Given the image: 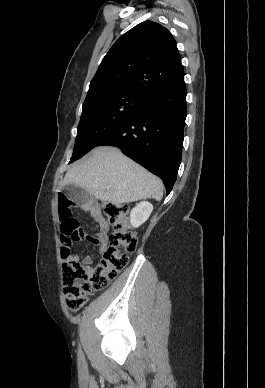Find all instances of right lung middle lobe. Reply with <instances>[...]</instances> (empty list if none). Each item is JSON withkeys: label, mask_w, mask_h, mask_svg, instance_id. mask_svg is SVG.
<instances>
[{"label": "right lung middle lobe", "mask_w": 265, "mask_h": 388, "mask_svg": "<svg viewBox=\"0 0 265 388\" xmlns=\"http://www.w3.org/2000/svg\"><path fill=\"white\" fill-rule=\"evenodd\" d=\"M144 96L102 90L88 95L84 101L75 148L70 163L78 160L139 107Z\"/></svg>", "instance_id": "dd1d6c3e"}]
</instances>
